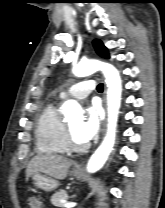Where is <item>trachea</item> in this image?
<instances>
[{
    "label": "trachea",
    "instance_id": "3493384b",
    "mask_svg": "<svg viewBox=\"0 0 165 208\" xmlns=\"http://www.w3.org/2000/svg\"><path fill=\"white\" fill-rule=\"evenodd\" d=\"M97 90H98L99 92H102V91H103V84H99V85L97 86Z\"/></svg>",
    "mask_w": 165,
    "mask_h": 208
}]
</instances>
